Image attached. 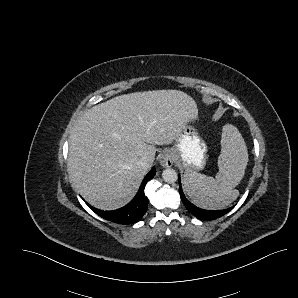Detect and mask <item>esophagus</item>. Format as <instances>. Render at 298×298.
Listing matches in <instances>:
<instances>
[{"label": "esophagus", "mask_w": 298, "mask_h": 298, "mask_svg": "<svg viewBox=\"0 0 298 298\" xmlns=\"http://www.w3.org/2000/svg\"><path fill=\"white\" fill-rule=\"evenodd\" d=\"M174 163V157L170 150H164L160 156V165L164 168L172 167Z\"/></svg>", "instance_id": "1"}]
</instances>
